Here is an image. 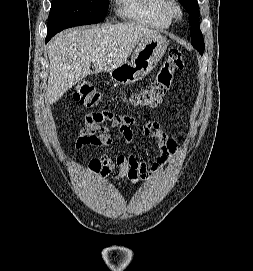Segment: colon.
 I'll list each match as a JSON object with an SVG mask.
<instances>
[{
  "instance_id": "5ec220e1",
  "label": "colon",
  "mask_w": 253,
  "mask_h": 271,
  "mask_svg": "<svg viewBox=\"0 0 253 271\" xmlns=\"http://www.w3.org/2000/svg\"><path fill=\"white\" fill-rule=\"evenodd\" d=\"M185 66V59L177 48L168 52L163 68L150 84L142 91L127 96L128 101L136 107H156L170 91L173 82L180 77ZM75 100L87 107H96L105 101V94L96 91L87 82L78 85Z\"/></svg>"
}]
</instances>
